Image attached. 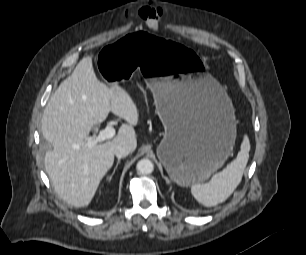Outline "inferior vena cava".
I'll return each mask as SVG.
<instances>
[{
  "instance_id": "602c4592",
  "label": "inferior vena cava",
  "mask_w": 306,
  "mask_h": 255,
  "mask_svg": "<svg viewBox=\"0 0 306 255\" xmlns=\"http://www.w3.org/2000/svg\"><path fill=\"white\" fill-rule=\"evenodd\" d=\"M131 152H133V148L127 143L119 144L114 149V154L118 159L128 156Z\"/></svg>"
}]
</instances>
